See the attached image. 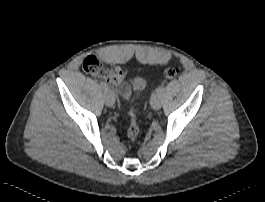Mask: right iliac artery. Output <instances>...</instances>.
Wrapping results in <instances>:
<instances>
[{"mask_svg": "<svg viewBox=\"0 0 265 202\" xmlns=\"http://www.w3.org/2000/svg\"><path fill=\"white\" fill-rule=\"evenodd\" d=\"M100 87L105 92L108 90V86H107V84L105 82H101L100 83Z\"/></svg>", "mask_w": 265, "mask_h": 202, "instance_id": "1", "label": "right iliac artery"}]
</instances>
